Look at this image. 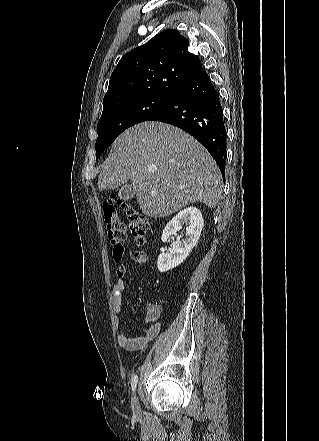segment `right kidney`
Masks as SVG:
<instances>
[{
	"instance_id": "ca27d5eb",
	"label": "right kidney",
	"mask_w": 319,
	"mask_h": 441,
	"mask_svg": "<svg viewBox=\"0 0 319 441\" xmlns=\"http://www.w3.org/2000/svg\"><path fill=\"white\" fill-rule=\"evenodd\" d=\"M184 224L189 225L184 231L186 238L173 242L172 250L169 253L162 252L158 256L157 268L160 272L169 271L183 263L197 244L204 225L200 210L195 207H188L174 216L163 230L162 242H166L172 234H176Z\"/></svg>"
}]
</instances>
